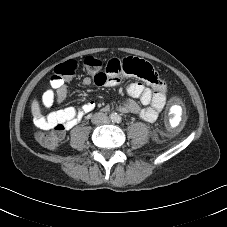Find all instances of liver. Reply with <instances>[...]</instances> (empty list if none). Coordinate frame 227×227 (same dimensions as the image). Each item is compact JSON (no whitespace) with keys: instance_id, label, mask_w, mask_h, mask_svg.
Returning a JSON list of instances; mask_svg holds the SVG:
<instances>
[{"instance_id":"6515ba94","label":"liver","mask_w":227,"mask_h":227,"mask_svg":"<svg viewBox=\"0 0 227 227\" xmlns=\"http://www.w3.org/2000/svg\"><path fill=\"white\" fill-rule=\"evenodd\" d=\"M31 111H32V115L34 117H37V116H40V113H41V110H40V105L38 103V101L36 99H34L32 101V104H31Z\"/></svg>"}]
</instances>
